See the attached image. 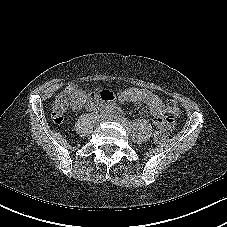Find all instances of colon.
<instances>
[{
    "label": "colon",
    "instance_id": "1",
    "mask_svg": "<svg viewBox=\"0 0 227 227\" xmlns=\"http://www.w3.org/2000/svg\"><path fill=\"white\" fill-rule=\"evenodd\" d=\"M75 91L74 86L65 87L55 98L51 109V117L56 124H61L64 121V114L67 110L69 101ZM92 97H96L93 95ZM166 109L170 122H173L180 114V107L176 100L170 98L167 100ZM168 137V130L164 127H159L154 133V139L157 142H163Z\"/></svg>",
    "mask_w": 227,
    "mask_h": 227
}]
</instances>
